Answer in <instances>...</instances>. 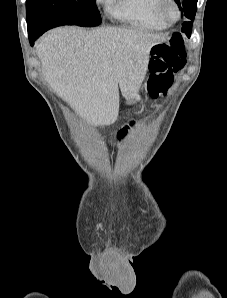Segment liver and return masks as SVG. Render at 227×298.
<instances>
[{
    "label": "liver",
    "mask_w": 227,
    "mask_h": 298,
    "mask_svg": "<svg viewBox=\"0 0 227 298\" xmlns=\"http://www.w3.org/2000/svg\"><path fill=\"white\" fill-rule=\"evenodd\" d=\"M169 39L127 28L64 26L45 35L36 52L56 94L88 124L104 126L118 117L119 87L126 100L135 98L151 48Z\"/></svg>",
    "instance_id": "1"
}]
</instances>
